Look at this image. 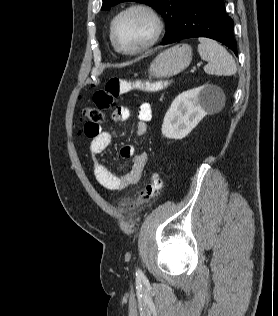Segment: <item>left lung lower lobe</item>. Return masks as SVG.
<instances>
[{
	"label": "left lung lower lobe",
	"instance_id": "obj_1",
	"mask_svg": "<svg viewBox=\"0 0 278 316\" xmlns=\"http://www.w3.org/2000/svg\"><path fill=\"white\" fill-rule=\"evenodd\" d=\"M194 37L217 40L237 55L233 20L226 14L222 0H187L173 32L161 45Z\"/></svg>",
	"mask_w": 278,
	"mask_h": 316
}]
</instances>
